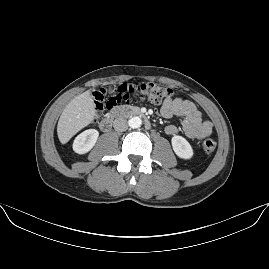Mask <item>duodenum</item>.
<instances>
[{"label": "duodenum", "instance_id": "obj_1", "mask_svg": "<svg viewBox=\"0 0 269 269\" xmlns=\"http://www.w3.org/2000/svg\"><path fill=\"white\" fill-rule=\"evenodd\" d=\"M124 116H139L144 119L145 127L147 129H150L152 127V124L150 120L147 118L146 114L141 111L139 108L134 106H121V107H115L110 110V112L103 117V119L100 122V128L103 131H109L111 130L114 121L120 117Z\"/></svg>", "mask_w": 269, "mask_h": 269}]
</instances>
